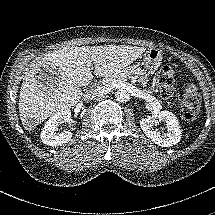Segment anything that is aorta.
I'll return each instance as SVG.
<instances>
[{"label": "aorta", "mask_w": 215, "mask_h": 215, "mask_svg": "<svg viewBox=\"0 0 215 215\" xmlns=\"http://www.w3.org/2000/svg\"><path fill=\"white\" fill-rule=\"evenodd\" d=\"M115 98L118 102L125 103L129 101L130 95L124 89H119L115 92Z\"/></svg>", "instance_id": "obj_1"}]
</instances>
